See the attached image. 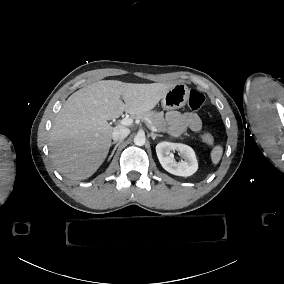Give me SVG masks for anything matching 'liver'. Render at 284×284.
Instances as JSON below:
<instances>
[{
  "instance_id": "liver-1",
  "label": "liver",
  "mask_w": 284,
  "mask_h": 284,
  "mask_svg": "<svg viewBox=\"0 0 284 284\" xmlns=\"http://www.w3.org/2000/svg\"><path fill=\"white\" fill-rule=\"evenodd\" d=\"M175 85L102 80L73 93L57 114L49 137L57 170L72 180L90 177L111 145L113 128L107 120L124 111L131 115L150 111Z\"/></svg>"
}]
</instances>
